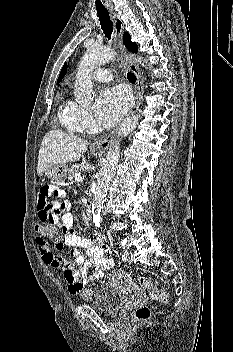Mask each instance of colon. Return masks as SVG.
<instances>
[{
    "instance_id": "5ec220e1",
    "label": "colon",
    "mask_w": 233,
    "mask_h": 352,
    "mask_svg": "<svg viewBox=\"0 0 233 352\" xmlns=\"http://www.w3.org/2000/svg\"><path fill=\"white\" fill-rule=\"evenodd\" d=\"M36 231L39 238L47 243V241L54 240L58 236V229L47 222H39L36 225ZM140 285L148 293V295L163 304L168 303V295L164 288L154 279L143 277L140 279ZM80 296L84 300H89L93 296V291L90 289H81ZM151 311L148 307H140L135 311V318L138 320H145L150 317Z\"/></svg>"
}]
</instances>
